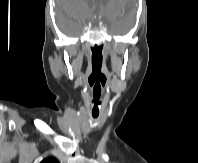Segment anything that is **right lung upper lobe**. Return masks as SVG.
<instances>
[{
	"label": "right lung upper lobe",
	"mask_w": 198,
	"mask_h": 163,
	"mask_svg": "<svg viewBox=\"0 0 198 163\" xmlns=\"http://www.w3.org/2000/svg\"><path fill=\"white\" fill-rule=\"evenodd\" d=\"M40 163H59L57 159L51 157V158H46L42 160Z\"/></svg>",
	"instance_id": "cb5924a9"
}]
</instances>
